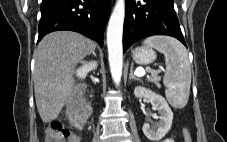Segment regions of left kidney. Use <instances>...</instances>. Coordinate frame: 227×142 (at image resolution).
<instances>
[{"label":"left kidney","mask_w":227,"mask_h":142,"mask_svg":"<svg viewBox=\"0 0 227 142\" xmlns=\"http://www.w3.org/2000/svg\"><path fill=\"white\" fill-rule=\"evenodd\" d=\"M136 98L148 99L160 114V121L151 127L148 123L143 125V133L152 142L161 140L171 129L173 121V112L165 98L155 92L138 86L134 90Z\"/></svg>","instance_id":"left-kidney-1"}]
</instances>
